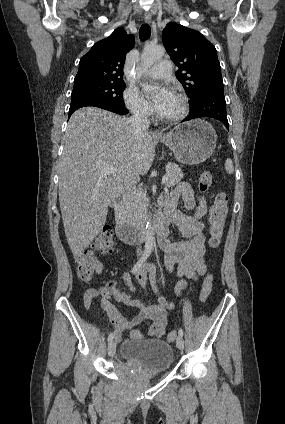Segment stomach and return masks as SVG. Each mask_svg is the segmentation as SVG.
<instances>
[{"instance_id": "stomach-1", "label": "stomach", "mask_w": 285, "mask_h": 424, "mask_svg": "<svg viewBox=\"0 0 285 424\" xmlns=\"http://www.w3.org/2000/svg\"><path fill=\"white\" fill-rule=\"evenodd\" d=\"M160 141L174 153L177 161L194 165L207 160L216 147L217 134L205 120L196 119L175 127Z\"/></svg>"}]
</instances>
